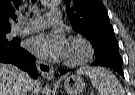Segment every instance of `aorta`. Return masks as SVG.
<instances>
[{
  "mask_svg": "<svg viewBox=\"0 0 135 95\" xmlns=\"http://www.w3.org/2000/svg\"><path fill=\"white\" fill-rule=\"evenodd\" d=\"M43 4L49 7L55 6L59 3V0H42ZM42 95H51V90L48 85L42 91Z\"/></svg>",
  "mask_w": 135,
  "mask_h": 95,
  "instance_id": "762f6f07",
  "label": "aorta"
}]
</instances>
